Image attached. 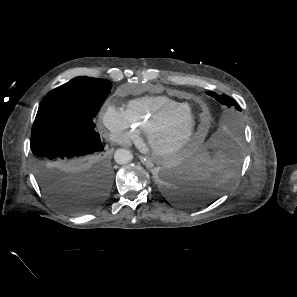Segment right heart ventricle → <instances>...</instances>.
I'll list each match as a JSON object with an SVG mask.
<instances>
[{"instance_id":"e07e8e85","label":"right heart ventricle","mask_w":297,"mask_h":297,"mask_svg":"<svg viewBox=\"0 0 297 297\" xmlns=\"http://www.w3.org/2000/svg\"><path fill=\"white\" fill-rule=\"evenodd\" d=\"M188 107L184 101L166 96H143L129 102L126 112L137 128L146 132L161 117L173 114Z\"/></svg>"}]
</instances>
